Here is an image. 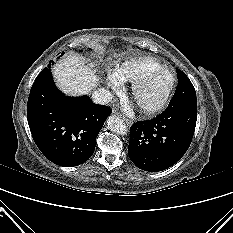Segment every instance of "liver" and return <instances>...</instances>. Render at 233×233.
<instances>
[{
    "mask_svg": "<svg viewBox=\"0 0 233 233\" xmlns=\"http://www.w3.org/2000/svg\"><path fill=\"white\" fill-rule=\"evenodd\" d=\"M53 75L59 89L70 96L88 94L96 87L99 80L92 65L86 64L74 54L68 55L57 64Z\"/></svg>",
    "mask_w": 233,
    "mask_h": 233,
    "instance_id": "6515ba94",
    "label": "liver"
}]
</instances>
